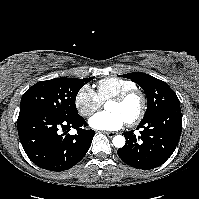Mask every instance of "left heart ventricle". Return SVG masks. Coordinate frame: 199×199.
Wrapping results in <instances>:
<instances>
[{
	"label": "left heart ventricle",
	"mask_w": 199,
	"mask_h": 199,
	"mask_svg": "<svg viewBox=\"0 0 199 199\" xmlns=\"http://www.w3.org/2000/svg\"><path fill=\"white\" fill-rule=\"evenodd\" d=\"M139 107V98L137 96H133L124 103L109 102L107 105V111L119 113L127 121L137 114Z\"/></svg>",
	"instance_id": "b2bd125f"
}]
</instances>
